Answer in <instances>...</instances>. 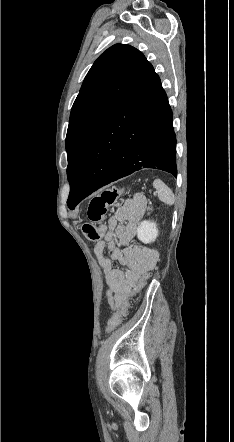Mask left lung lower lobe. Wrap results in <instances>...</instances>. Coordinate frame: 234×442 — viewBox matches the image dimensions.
I'll list each match as a JSON object with an SVG mask.
<instances>
[{
    "instance_id": "0a47b994",
    "label": "left lung lower lobe",
    "mask_w": 234,
    "mask_h": 442,
    "mask_svg": "<svg viewBox=\"0 0 234 442\" xmlns=\"http://www.w3.org/2000/svg\"><path fill=\"white\" fill-rule=\"evenodd\" d=\"M175 154L172 111L148 63L92 140L67 205L73 210L95 190L142 168L176 177Z\"/></svg>"
}]
</instances>
